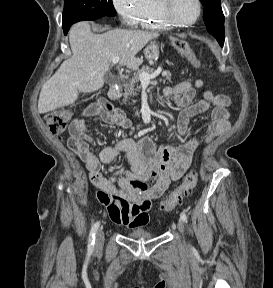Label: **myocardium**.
<instances>
[{"instance_id": "myocardium-1", "label": "myocardium", "mask_w": 273, "mask_h": 288, "mask_svg": "<svg viewBox=\"0 0 273 288\" xmlns=\"http://www.w3.org/2000/svg\"><path fill=\"white\" fill-rule=\"evenodd\" d=\"M158 2H159L160 11H161L163 18L169 24L175 27H190L199 20L202 14V3L200 0H195L197 4V15L192 21H189V22H182V21L177 20L174 17L172 13L173 0H158Z\"/></svg>"}]
</instances>
